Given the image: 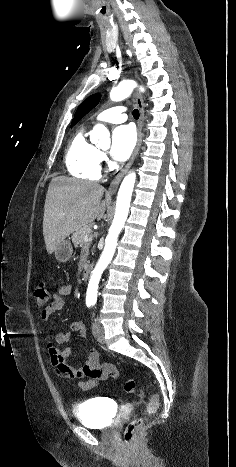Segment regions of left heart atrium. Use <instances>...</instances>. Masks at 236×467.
<instances>
[{
    "mask_svg": "<svg viewBox=\"0 0 236 467\" xmlns=\"http://www.w3.org/2000/svg\"><path fill=\"white\" fill-rule=\"evenodd\" d=\"M136 136L130 125H120L113 130L110 154L114 160L125 161L133 151Z\"/></svg>",
    "mask_w": 236,
    "mask_h": 467,
    "instance_id": "39dd6f15",
    "label": "left heart atrium"
}]
</instances>
